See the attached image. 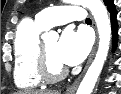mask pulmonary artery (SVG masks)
Instances as JSON below:
<instances>
[{
  "label": "pulmonary artery",
  "mask_w": 121,
  "mask_h": 94,
  "mask_svg": "<svg viewBox=\"0 0 121 94\" xmlns=\"http://www.w3.org/2000/svg\"><path fill=\"white\" fill-rule=\"evenodd\" d=\"M37 21L46 28L63 25L71 21L85 20V12L80 6H56L43 9L36 15Z\"/></svg>",
  "instance_id": "1"
}]
</instances>
